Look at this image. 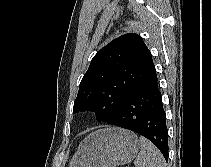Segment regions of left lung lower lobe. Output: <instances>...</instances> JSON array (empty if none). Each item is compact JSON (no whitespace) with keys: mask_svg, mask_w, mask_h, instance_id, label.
Returning a JSON list of instances; mask_svg holds the SVG:
<instances>
[{"mask_svg":"<svg viewBox=\"0 0 211 167\" xmlns=\"http://www.w3.org/2000/svg\"><path fill=\"white\" fill-rule=\"evenodd\" d=\"M107 124L129 129L146 137L167 159L168 130L156 72L145 85L128 97Z\"/></svg>","mask_w":211,"mask_h":167,"instance_id":"left-lung-lower-lobe-1","label":"left lung lower lobe"}]
</instances>
